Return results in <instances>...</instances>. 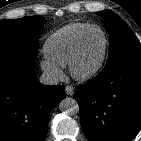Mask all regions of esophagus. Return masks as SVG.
Wrapping results in <instances>:
<instances>
[{
  "mask_svg": "<svg viewBox=\"0 0 141 141\" xmlns=\"http://www.w3.org/2000/svg\"><path fill=\"white\" fill-rule=\"evenodd\" d=\"M65 93L69 96H72L74 94V87L72 85H67L65 87Z\"/></svg>",
  "mask_w": 141,
  "mask_h": 141,
  "instance_id": "esophagus-1",
  "label": "esophagus"
}]
</instances>
